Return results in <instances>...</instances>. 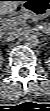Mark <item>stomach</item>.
Listing matches in <instances>:
<instances>
[{
  "label": "stomach",
  "instance_id": "0dacf381",
  "mask_svg": "<svg viewBox=\"0 0 50 111\" xmlns=\"http://www.w3.org/2000/svg\"><path fill=\"white\" fill-rule=\"evenodd\" d=\"M23 3L24 10L38 19L47 18L50 15V0H25Z\"/></svg>",
  "mask_w": 50,
  "mask_h": 111
}]
</instances>
